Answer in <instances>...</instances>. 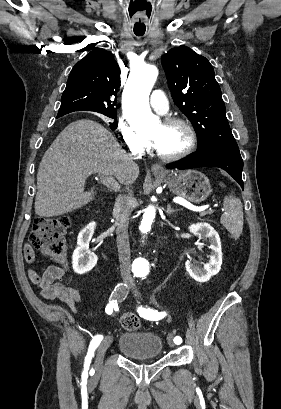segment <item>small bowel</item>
<instances>
[{"label":"small bowel","instance_id":"c3829d8e","mask_svg":"<svg viewBox=\"0 0 281 409\" xmlns=\"http://www.w3.org/2000/svg\"><path fill=\"white\" fill-rule=\"evenodd\" d=\"M24 253L28 266L34 265L33 244H24ZM28 275L34 284L40 288L41 295L45 299L58 300L69 306L74 312L79 309V304L83 301V294L74 287L62 282L66 275L65 268L58 265L48 266L43 274H39L35 269L29 268Z\"/></svg>","mask_w":281,"mask_h":409}]
</instances>
